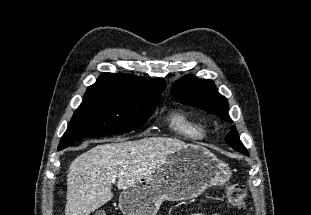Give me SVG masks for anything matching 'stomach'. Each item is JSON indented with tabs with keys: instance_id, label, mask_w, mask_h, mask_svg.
Instances as JSON below:
<instances>
[{
	"instance_id": "stomach-1",
	"label": "stomach",
	"mask_w": 311,
	"mask_h": 215,
	"mask_svg": "<svg viewBox=\"0 0 311 215\" xmlns=\"http://www.w3.org/2000/svg\"><path fill=\"white\" fill-rule=\"evenodd\" d=\"M230 178V170L207 148L186 144L146 178L123 190V215H156L162 202L190 200Z\"/></svg>"
}]
</instances>
